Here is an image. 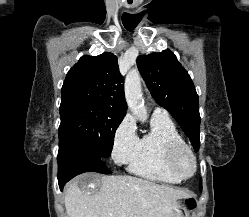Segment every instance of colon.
<instances>
[{
  "label": "colon",
  "mask_w": 249,
  "mask_h": 217,
  "mask_svg": "<svg viewBox=\"0 0 249 217\" xmlns=\"http://www.w3.org/2000/svg\"><path fill=\"white\" fill-rule=\"evenodd\" d=\"M185 203H186V206L189 209H194L196 207V201H195L194 198H188V199H186Z\"/></svg>",
  "instance_id": "1"
}]
</instances>
